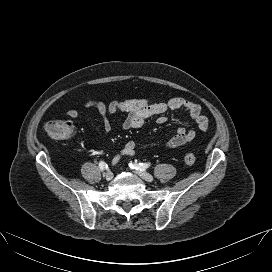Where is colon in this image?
I'll return each mask as SVG.
<instances>
[{
	"label": "colon",
	"mask_w": 272,
	"mask_h": 272,
	"mask_svg": "<svg viewBox=\"0 0 272 272\" xmlns=\"http://www.w3.org/2000/svg\"><path fill=\"white\" fill-rule=\"evenodd\" d=\"M45 131L47 135L56 140H65L70 138L74 133V125L68 120H54L46 124ZM196 157L188 153L184 155V162L188 165L194 164Z\"/></svg>",
	"instance_id": "obj_1"
}]
</instances>
